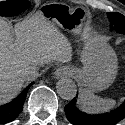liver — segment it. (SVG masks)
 <instances>
[{
    "instance_id": "6515ba94",
    "label": "liver",
    "mask_w": 125,
    "mask_h": 125,
    "mask_svg": "<svg viewBox=\"0 0 125 125\" xmlns=\"http://www.w3.org/2000/svg\"><path fill=\"white\" fill-rule=\"evenodd\" d=\"M11 31L0 19V105L20 92L25 71L71 60L70 43L41 12L16 23Z\"/></svg>"
}]
</instances>
